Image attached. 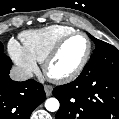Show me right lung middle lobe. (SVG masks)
<instances>
[{
    "instance_id": "obj_1",
    "label": "right lung middle lobe",
    "mask_w": 119,
    "mask_h": 119,
    "mask_svg": "<svg viewBox=\"0 0 119 119\" xmlns=\"http://www.w3.org/2000/svg\"><path fill=\"white\" fill-rule=\"evenodd\" d=\"M4 47L2 45V43L0 42V57L4 58L6 62H10V58H8L4 53Z\"/></svg>"
}]
</instances>
